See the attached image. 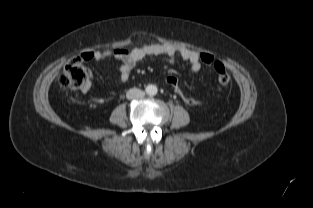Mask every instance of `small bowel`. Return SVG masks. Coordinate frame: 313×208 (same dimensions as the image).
I'll return each instance as SVG.
<instances>
[{"label": "small bowel", "mask_w": 313, "mask_h": 208, "mask_svg": "<svg viewBox=\"0 0 313 208\" xmlns=\"http://www.w3.org/2000/svg\"><path fill=\"white\" fill-rule=\"evenodd\" d=\"M155 56L163 57L169 62H174L177 57L186 61L190 65V70L193 73L200 71L202 67V61L199 57V52L193 51L188 48H176L172 45L166 44H146L133 49L117 48L113 51H91L82 55L85 60L102 61L105 59L114 58L121 64L119 66L120 81L126 82L134 66L146 57ZM89 86L83 88V91H87Z\"/></svg>", "instance_id": "1"}]
</instances>
